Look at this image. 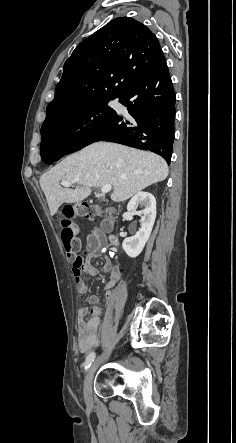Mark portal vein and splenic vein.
<instances>
[{
  "mask_svg": "<svg viewBox=\"0 0 236 443\" xmlns=\"http://www.w3.org/2000/svg\"><path fill=\"white\" fill-rule=\"evenodd\" d=\"M61 185H62L63 187L68 188V187H70V186L72 185V183L69 182V181H64V180H63V181H61ZM111 189H112V185L108 184V185H105V186H103V187L101 188V192H102V193H107V192H110Z\"/></svg>",
  "mask_w": 236,
  "mask_h": 443,
  "instance_id": "1",
  "label": "portal vein and splenic vein"
}]
</instances>
